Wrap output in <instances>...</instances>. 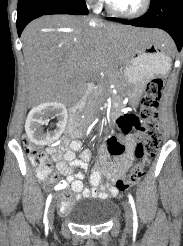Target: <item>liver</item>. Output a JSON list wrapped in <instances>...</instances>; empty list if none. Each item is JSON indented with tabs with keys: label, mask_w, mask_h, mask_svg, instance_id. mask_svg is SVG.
Segmentation results:
<instances>
[{
	"label": "liver",
	"mask_w": 183,
	"mask_h": 246,
	"mask_svg": "<svg viewBox=\"0 0 183 246\" xmlns=\"http://www.w3.org/2000/svg\"><path fill=\"white\" fill-rule=\"evenodd\" d=\"M26 64V91L35 105L77 99L91 73L126 62L133 41L172 45L161 30L104 24L100 19L47 15L29 23L22 36Z\"/></svg>",
	"instance_id": "obj_1"
}]
</instances>
